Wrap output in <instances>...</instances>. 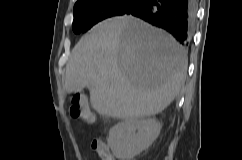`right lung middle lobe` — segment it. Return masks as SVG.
<instances>
[{
  "label": "right lung middle lobe",
  "instance_id": "1",
  "mask_svg": "<svg viewBox=\"0 0 242 160\" xmlns=\"http://www.w3.org/2000/svg\"><path fill=\"white\" fill-rule=\"evenodd\" d=\"M142 0H82L74 6L73 31L86 32L101 20L125 14Z\"/></svg>",
  "mask_w": 242,
  "mask_h": 160
}]
</instances>
